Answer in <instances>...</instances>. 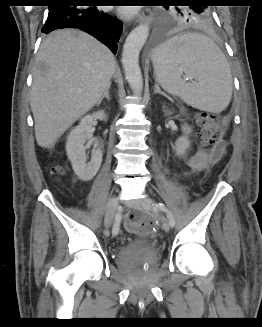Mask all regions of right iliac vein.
Segmentation results:
<instances>
[{
	"label": "right iliac vein",
	"mask_w": 262,
	"mask_h": 327,
	"mask_svg": "<svg viewBox=\"0 0 262 327\" xmlns=\"http://www.w3.org/2000/svg\"><path fill=\"white\" fill-rule=\"evenodd\" d=\"M117 207H118V200L115 196H113L112 198H110L105 212V217H104L105 227L108 228L112 224Z\"/></svg>",
	"instance_id": "right-iliac-vein-1"
}]
</instances>
